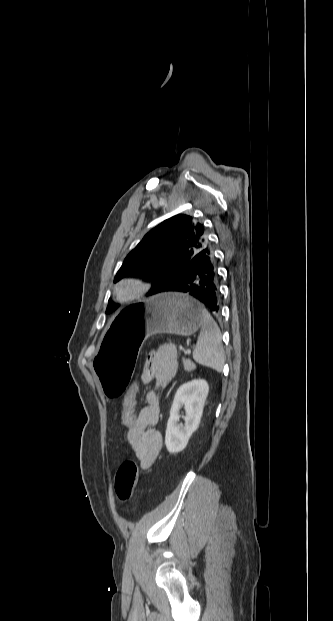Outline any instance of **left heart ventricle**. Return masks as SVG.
<instances>
[{"label": "left heart ventricle", "mask_w": 333, "mask_h": 621, "mask_svg": "<svg viewBox=\"0 0 333 621\" xmlns=\"http://www.w3.org/2000/svg\"><path fill=\"white\" fill-rule=\"evenodd\" d=\"M130 290H131V288H125L123 292L124 293H128Z\"/></svg>", "instance_id": "left-heart-ventricle-1"}]
</instances>
